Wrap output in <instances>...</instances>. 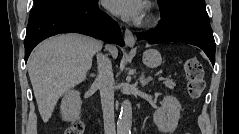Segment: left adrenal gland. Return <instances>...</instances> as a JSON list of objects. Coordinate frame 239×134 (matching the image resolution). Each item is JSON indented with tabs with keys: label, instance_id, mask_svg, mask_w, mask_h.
<instances>
[{
	"label": "left adrenal gland",
	"instance_id": "1",
	"mask_svg": "<svg viewBox=\"0 0 239 134\" xmlns=\"http://www.w3.org/2000/svg\"><path fill=\"white\" fill-rule=\"evenodd\" d=\"M152 77H147L145 78L144 72H142L141 76H140V83L141 85L144 87L146 86L150 81H152Z\"/></svg>",
	"mask_w": 239,
	"mask_h": 134
}]
</instances>
